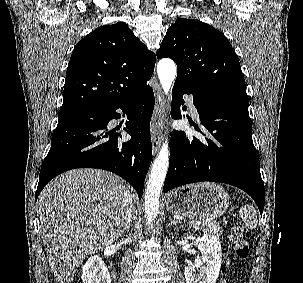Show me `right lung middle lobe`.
Listing matches in <instances>:
<instances>
[{
  "label": "right lung middle lobe",
  "mask_w": 303,
  "mask_h": 283,
  "mask_svg": "<svg viewBox=\"0 0 303 283\" xmlns=\"http://www.w3.org/2000/svg\"><path fill=\"white\" fill-rule=\"evenodd\" d=\"M91 114L90 113H84V114H80V115H76V116H71V117H63V118H59L58 121H63V120H68V119H73V118H78V117H89Z\"/></svg>",
  "instance_id": "obj_1"
}]
</instances>
